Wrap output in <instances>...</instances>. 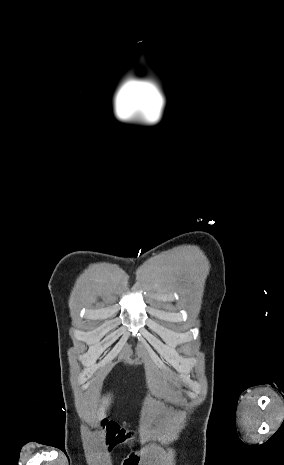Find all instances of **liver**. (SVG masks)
Here are the masks:
<instances>
[{"label":"liver","instance_id":"1","mask_svg":"<svg viewBox=\"0 0 284 465\" xmlns=\"http://www.w3.org/2000/svg\"><path fill=\"white\" fill-rule=\"evenodd\" d=\"M109 403H111V399H110L109 395H108V397H103L102 405H101L100 409H98V411H97V415H96L97 421H102V419H105V417H106V409H107Z\"/></svg>","mask_w":284,"mask_h":465}]
</instances>
